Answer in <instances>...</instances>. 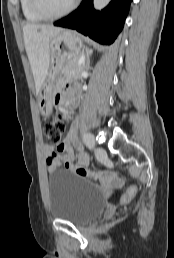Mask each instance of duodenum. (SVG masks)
<instances>
[{"label": "duodenum", "instance_id": "duodenum-1", "mask_svg": "<svg viewBox=\"0 0 174 258\" xmlns=\"http://www.w3.org/2000/svg\"><path fill=\"white\" fill-rule=\"evenodd\" d=\"M78 102L77 98L73 99V104H76Z\"/></svg>", "mask_w": 174, "mask_h": 258}]
</instances>
